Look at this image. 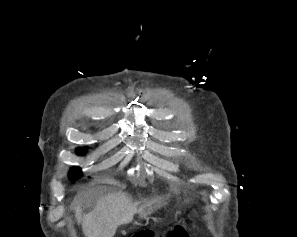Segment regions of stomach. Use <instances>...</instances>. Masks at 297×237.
I'll use <instances>...</instances> for the list:
<instances>
[{
  "label": "stomach",
  "instance_id": "0dacf381",
  "mask_svg": "<svg viewBox=\"0 0 297 237\" xmlns=\"http://www.w3.org/2000/svg\"><path fill=\"white\" fill-rule=\"evenodd\" d=\"M164 203H160L156 206H148L146 207L141 213L140 216L143 218H146L147 216H149L154 210L160 208Z\"/></svg>",
  "mask_w": 297,
  "mask_h": 237
}]
</instances>
